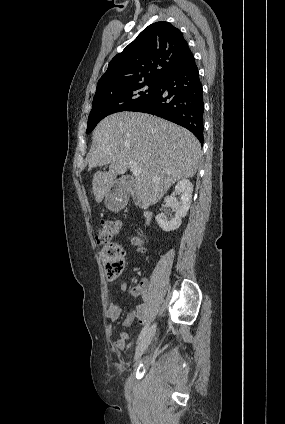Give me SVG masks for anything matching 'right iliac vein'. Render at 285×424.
I'll use <instances>...</instances> for the list:
<instances>
[{
    "instance_id": "1",
    "label": "right iliac vein",
    "mask_w": 285,
    "mask_h": 424,
    "mask_svg": "<svg viewBox=\"0 0 285 424\" xmlns=\"http://www.w3.org/2000/svg\"><path fill=\"white\" fill-rule=\"evenodd\" d=\"M156 332V323H154L147 331V333L144 335V337L141 339L139 344L136 347L134 359H138L145 350L149 347L151 344V341L155 335Z\"/></svg>"
}]
</instances>
